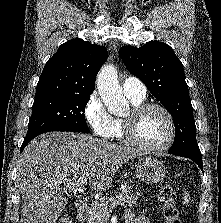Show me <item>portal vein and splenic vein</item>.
Masks as SVG:
<instances>
[{
	"instance_id": "obj_1",
	"label": "portal vein and splenic vein",
	"mask_w": 221,
	"mask_h": 223,
	"mask_svg": "<svg viewBox=\"0 0 221 223\" xmlns=\"http://www.w3.org/2000/svg\"><path fill=\"white\" fill-rule=\"evenodd\" d=\"M85 185V182H80V183H71V182H66L65 183V186L66 188H68L69 190H73V191H83V187ZM119 200L120 198H117L115 201H114V204L113 205H117L119 203Z\"/></svg>"
}]
</instances>
